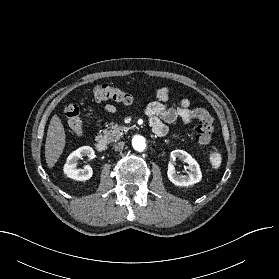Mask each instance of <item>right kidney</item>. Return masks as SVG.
<instances>
[{"mask_svg": "<svg viewBox=\"0 0 279 279\" xmlns=\"http://www.w3.org/2000/svg\"><path fill=\"white\" fill-rule=\"evenodd\" d=\"M94 150L89 146H83L72 152L64 165V174L77 181H86L92 177L93 170L91 166L86 165L82 169L77 168V161L84 156L90 159L94 158Z\"/></svg>", "mask_w": 279, "mask_h": 279, "instance_id": "1", "label": "right kidney"}]
</instances>
